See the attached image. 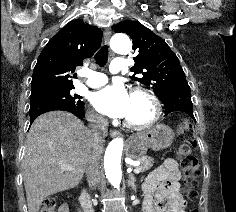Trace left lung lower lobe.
I'll use <instances>...</instances> for the list:
<instances>
[{
  "label": "left lung lower lobe",
  "mask_w": 236,
  "mask_h": 212,
  "mask_svg": "<svg viewBox=\"0 0 236 212\" xmlns=\"http://www.w3.org/2000/svg\"><path fill=\"white\" fill-rule=\"evenodd\" d=\"M161 102L165 107V115L171 112L181 111L187 113L195 120L189 85H184L169 91Z\"/></svg>",
  "instance_id": "1"
}]
</instances>
